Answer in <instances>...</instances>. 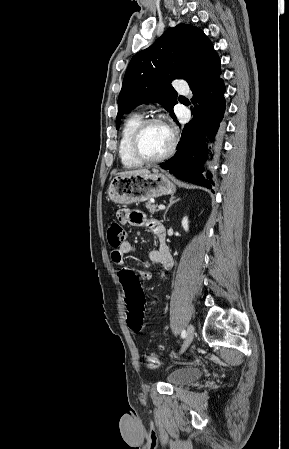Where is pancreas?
<instances>
[{
  "label": "pancreas",
  "mask_w": 289,
  "mask_h": 449,
  "mask_svg": "<svg viewBox=\"0 0 289 449\" xmlns=\"http://www.w3.org/2000/svg\"><path fill=\"white\" fill-rule=\"evenodd\" d=\"M146 209L149 210L150 213L158 212L157 205L151 202L146 203Z\"/></svg>",
  "instance_id": "1"
}]
</instances>
